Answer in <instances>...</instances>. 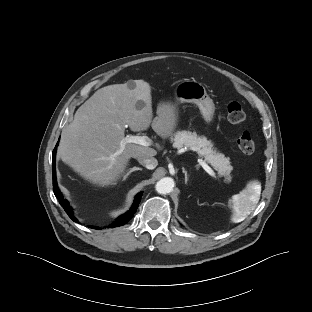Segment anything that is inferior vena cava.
<instances>
[{
    "mask_svg": "<svg viewBox=\"0 0 312 312\" xmlns=\"http://www.w3.org/2000/svg\"><path fill=\"white\" fill-rule=\"evenodd\" d=\"M138 162L143 165L144 167H146L147 169H154L156 168V166L158 165V161L156 158L154 157H137Z\"/></svg>",
    "mask_w": 312,
    "mask_h": 312,
    "instance_id": "obj_1",
    "label": "inferior vena cava"
}]
</instances>
